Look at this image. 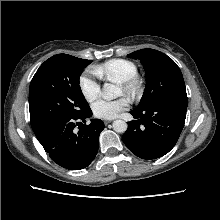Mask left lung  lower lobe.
Listing matches in <instances>:
<instances>
[{
	"mask_svg": "<svg viewBox=\"0 0 220 220\" xmlns=\"http://www.w3.org/2000/svg\"><path fill=\"white\" fill-rule=\"evenodd\" d=\"M187 103V95H179L163 99L143 111H131L137 120L128 122L123 142L142 159H156L167 154L184 127Z\"/></svg>",
	"mask_w": 220,
	"mask_h": 220,
	"instance_id": "left-lung-lower-lobe-1",
	"label": "left lung lower lobe"
}]
</instances>
